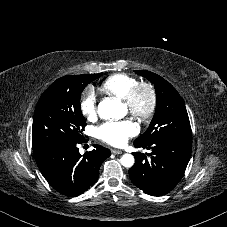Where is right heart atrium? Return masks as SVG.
I'll return each instance as SVG.
<instances>
[{
    "label": "right heart atrium",
    "mask_w": 227,
    "mask_h": 227,
    "mask_svg": "<svg viewBox=\"0 0 227 227\" xmlns=\"http://www.w3.org/2000/svg\"><path fill=\"white\" fill-rule=\"evenodd\" d=\"M80 110L86 119L96 118L98 113L97 96L93 90L89 89L83 93L80 100Z\"/></svg>",
    "instance_id": "right-heart-atrium-1"
}]
</instances>
